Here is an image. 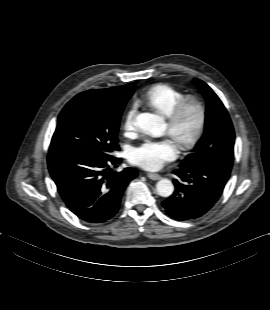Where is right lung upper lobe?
<instances>
[{"label":"right lung upper lobe","mask_w":270,"mask_h":310,"mask_svg":"<svg viewBox=\"0 0 270 310\" xmlns=\"http://www.w3.org/2000/svg\"><path fill=\"white\" fill-rule=\"evenodd\" d=\"M108 100L117 106H123L127 100L133 94L134 83H130L124 86H116L108 89H98Z\"/></svg>","instance_id":"cb5924a9"}]
</instances>
